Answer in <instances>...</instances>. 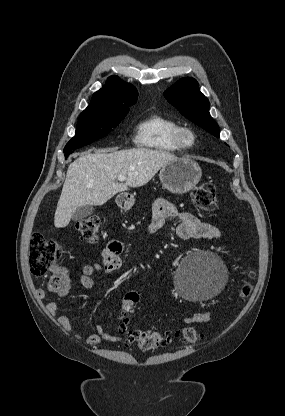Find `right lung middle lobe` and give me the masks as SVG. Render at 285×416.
<instances>
[{"mask_svg": "<svg viewBox=\"0 0 285 416\" xmlns=\"http://www.w3.org/2000/svg\"><path fill=\"white\" fill-rule=\"evenodd\" d=\"M128 111V107L107 110L86 108L80 114L76 134L67 143L64 152L80 148L107 136L112 128L119 125Z\"/></svg>", "mask_w": 285, "mask_h": 416, "instance_id": "1", "label": "right lung middle lobe"}]
</instances>
